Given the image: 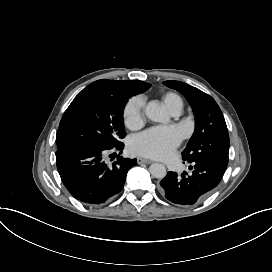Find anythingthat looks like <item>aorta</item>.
Masks as SVG:
<instances>
[{"label": "aorta", "instance_id": "762f6f07", "mask_svg": "<svg viewBox=\"0 0 272 272\" xmlns=\"http://www.w3.org/2000/svg\"><path fill=\"white\" fill-rule=\"evenodd\" d=\"M145 112L147 117L154 122H163L165 119L164 111H162L160 103L157 100L150 101ZM149 172L153 177L158 179H163L167 174L166 167L160 163L151 164Z\"/></svg>", "mask_w": 272, "mask_h": 272}]
</instances>
